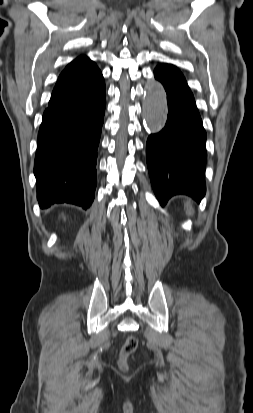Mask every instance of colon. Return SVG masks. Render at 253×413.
Returning a JSON list of instances; mask_svg holds the SVG:
<instances>
[{"instance_id": "colon-1", "label": "colon", "mask_w": 253, "mask_h": 413, "mask_svg": "<svg viewBox=\"0 0 253 413\" xmlns=\"http://www.w3.org/2000/svg\"><path fill=\"white\" fill-rule=\"evenodd\" d=\"M138 346L137 339L133 336H128L124 341L120 350L121 367L125 368L126 359L136 351Z\"/></svg>"}]
</instances>
